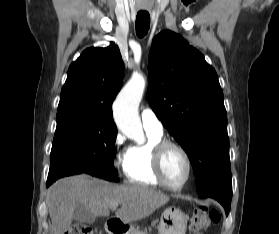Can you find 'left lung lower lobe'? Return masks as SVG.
Instances as JSON below:
<instances>
[{"label":"left lung lower lobe","mask_w":279,"mask_h":234,"mask_svg":"<svg viewBox=\"0 0 279 234\" xmlns=\"http://www.w3.org/2000/svg\"><path fill=\"white\" fill-rule=\"evenodd\" d=\"M211 196H213L214 198H217L219 200H221L222 202H226V201H230L231 203V199H232V190L229 192H224V191H214L212 193H210Z\"/></svg>","instance_id":"obj_1"}]
</instances>
